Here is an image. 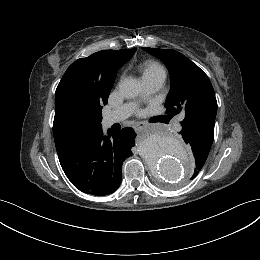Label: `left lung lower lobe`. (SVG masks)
Segmentation results:
<instances>
[{"label":"left lung lower lobe","instance_id":"1","mask_svg":"<svg viewBox=\"0 0 260 260\" xmlns=\"http://www.w3.org/2000/svg\"><path fill=\"white\" fill-rule=\"evenodd\" d=\"M180 134L182 135L185 143L191 145L195 159H207L212 144H209L197 134L186 129L181 130ZM198 173L199 172L195 170L191 179H194Z\"/></svg>","mask_w":260,"mask_h":260}]
</instances>
